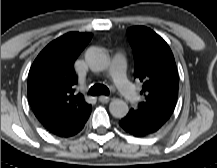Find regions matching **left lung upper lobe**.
<instances>
[{"label":"left lung upper lobe","instance_id":"5c2ea615","mask_svg":"<svg viewBox=\"0 0 217 168\" xmlns=\"http://www.w3.org/2000/svg\"><path fill=\"white\" fill-rule=\"evenodd\" d=\"M134 56V78L143 83L145 99L130 111L143 119L165 124L178 97L177 67L169 45L150 28L134 26L127 30Z\"/></svg>","mask_w":217,"mask_h":168}]
</instances>
